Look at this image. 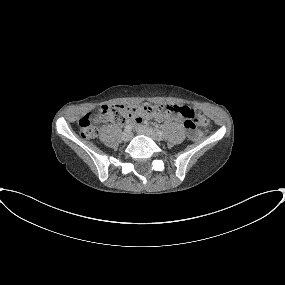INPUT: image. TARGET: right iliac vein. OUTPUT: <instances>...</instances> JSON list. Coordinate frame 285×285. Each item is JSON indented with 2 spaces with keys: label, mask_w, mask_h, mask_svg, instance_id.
Instances as JSON below:
<instances>
[{
  "label": "right iliac vein",
  "mask_w": 285,
  "mask_h": 285,
  "mask_svg": "<svg viewBox=\"0 0 285 285\" xmlns=\"http://www.w3.org/2000/svg\"><path fill=\"white\" fill-rule=\"evenodd\" d=\"M131 138H132V134L129 131H125L122 135V139L125 142H128L129 140H131Z\"/></svg>",
  "instance_id": "right-iliac-vein-1"
}]
</instances>
